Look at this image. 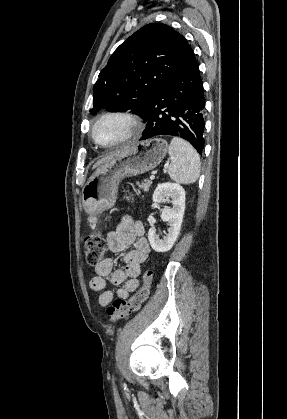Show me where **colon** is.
I'll list each match as a JSON object with an SVG mask.
<instances>
[{"label":"colon","instance_id":"colon-1","mask_svg":"<svg viewBox=\"0 0 287 419\" xmlns=\"http://www.w3.org/2000/svg\"><path fill=\"white\" fill-rule=\"evenodd\" d=\"M131 199V196H127ZM87 263L92 267H97L106 258L107 244L100 233L86 236L84 241ZM151 283V274L147 271L143 276L142 287L129 299H116L107 308L106 314L110 322H117L127 318L137 312L142 304L147 300Z\"/></svg>","mask_w":287,"mask_h":419}]
</instances>
